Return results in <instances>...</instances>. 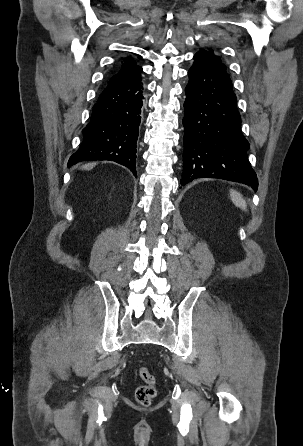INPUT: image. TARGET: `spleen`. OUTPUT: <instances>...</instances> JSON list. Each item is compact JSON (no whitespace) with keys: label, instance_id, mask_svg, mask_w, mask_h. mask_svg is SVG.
Segmentation results:
<instances>
[{"label":"spleen","instance_id":"3e777b00","mask_svg":"<svg viewBox=\"0 0 303 446\" xmlns=\"http://www.w3.org/2000/svg\"><path fill=\"white\" fill-rule=\"evenodd\" d=\"M230 198L235 206L239 207L243 211H247V203L239 192L231 189Z\"/></svg>","mask_w":303,"mask_h":446}]
</instances>
